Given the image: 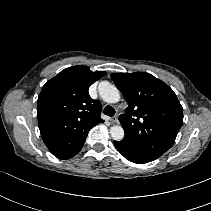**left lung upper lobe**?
<instances>
[{
  "label": "left lung upper lobe",
  "mask_w": 211,
  "mask_h": 211,
  "mask_svg": "<svg viewBox=\"0 0 211 211\" xmlns=\"http://www.w3.org/2000/svg\"><path fill=\"white\" fill-rule=\"evenodd\" d=\"M111 78L128 102L119 121L123 141L139 155L155 160L175 142L183 124V108L174 91L145 72L113 73Z\"/></svg>",
  "instance_id": "left-lung-upper-lobe-1"
}]
</instances>
